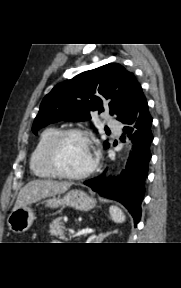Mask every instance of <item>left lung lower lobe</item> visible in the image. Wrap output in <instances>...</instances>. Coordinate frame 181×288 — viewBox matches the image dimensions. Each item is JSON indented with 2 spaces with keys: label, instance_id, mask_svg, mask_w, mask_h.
<instances>
[{
  "label": "left lung lower lobe",
  "instance_id": "left-lung-lower-lobe-1",
  "mask_svg": "<svg viewBox=\"0 0 181 288\" xmlns=\"http://www.w3.org/2000/svg\"><path fill=\"white\" fill-rule=\"evenodd\" d=\"M123 124H133L124 127L129 138L133 139V151L130 153L125 170L115 180L104 175L84 182L101 196L122 203L131 213L135 226L141 218V202L144 198L145 179L148 174V164L151 159L150 144L153 140L151 132L152 117L148 104L142 92H137L134 101L124 119ZM135 129L133 135H130ZM125 137V133L122 135Z\"/></svg>",
  "mask_w": 181,
  "mask_h": 288
}]
</instances>
